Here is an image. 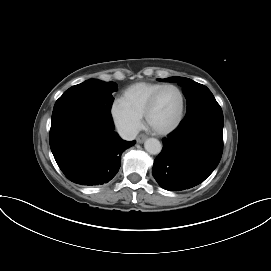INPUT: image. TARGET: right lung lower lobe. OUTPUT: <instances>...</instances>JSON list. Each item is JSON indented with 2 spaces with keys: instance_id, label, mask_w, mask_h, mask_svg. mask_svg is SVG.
Masks as SVG:
<instances>
[{
  "instance_id": "1",
  "label": "right lung lower lobe",
  "mask_w": 271,
  "mask_h": 271,
  "mask_svg": "<svg viewBox=\"0 0 271 271\" xmlns=\"http://www.w3.org/2000/svg\"><path fill=\"white\" fill-rule=\"evenodd\" d=\"M110 107L86 103L53 111L49 135L53 156L74 183L109 182L121 166V154L136 143L114 132Z\"/></svg>"
}]
</instances>
